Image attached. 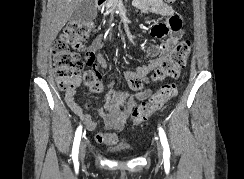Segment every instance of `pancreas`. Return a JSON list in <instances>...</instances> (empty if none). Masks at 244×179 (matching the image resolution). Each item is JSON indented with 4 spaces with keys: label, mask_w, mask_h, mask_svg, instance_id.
Segmentation results:
<instances>
[{
    "label": "pancreas",
    "mask_w": 244,
    "mask_h": 179,
    "mask_svg": "<svg viewBox=\"0 0 244 179\" xmlns=\"http://www.w3.org/2000/svg\"><path fill=\"white\" fill-rule=\"evenodd\" d=\"M112 4H115V0H108L107 6H112Z\"/></svg>",
    "instance_id": "pancreas-1"
}]
</instances>
